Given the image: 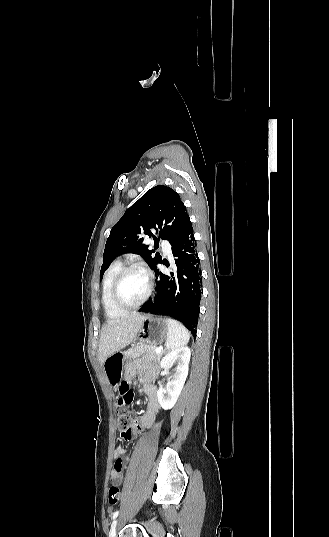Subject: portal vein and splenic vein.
Masks as SVG:
<instances>
[{
  "instance_id": "1",
  "label": "portal vein and splenic vein",
  "mask_w": 329,
  "mask_h": 537,
  "mask_svg": "<svg viewBox=\"0 0 329 537\" xmlns=\"http://www.w3.org/2000/svg\"><path fill=\"white\" fill-rule=\"evenodd\" d=\"M161 351H162V347H158V348H156V352H157V353H160Z\"/></svg>"
}]
</instances>
